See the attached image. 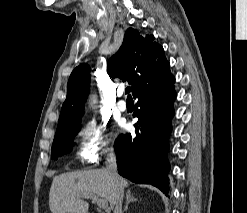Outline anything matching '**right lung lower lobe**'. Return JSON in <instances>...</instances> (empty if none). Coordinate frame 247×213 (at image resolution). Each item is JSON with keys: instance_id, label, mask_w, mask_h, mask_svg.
Instances as JSON below:
<instances>
[{"instance_id": "98d812e1", "label": "right lung lower lobe", "mask_w": 247, "mask_h": 213, "mask_svg": "<svg viewBox=\"0 0 247 213\" xmlns=\"http://www.w3.org/2000/svg\"><path fill=\"white\" fill-rule=\"evenodd\" d=\"M175 78L169 67L157 77L141 85L133 93L140 107L134 113L136 136L119 135L115 143L118 172L140 184H152L168 195L170 169L167 160Z\"/></svg>"}]
</instances>
